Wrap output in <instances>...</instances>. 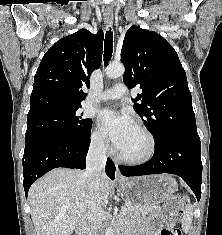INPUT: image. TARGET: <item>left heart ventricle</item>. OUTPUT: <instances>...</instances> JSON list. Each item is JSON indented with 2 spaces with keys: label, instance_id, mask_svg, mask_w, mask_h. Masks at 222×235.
Returning a JSON list of instances; mask_svg holds the SVG:
<instances>
[{
  "label": "left heart ventricle",
  "instance_id": "obj_1",
  "mask_svg": "<svg viewBox=\"0 0 222 235\" xmlns=\"http://www.w3.org/2000/svg\"><path fill=\"white\" fill-rule=\"evenodd\" d=\"M150 151L148 137L133 125L119 152L128 158H142Z\"/></svg>",
  "mask_w": 222,
  "mask_h": 235
}]
</instances>
